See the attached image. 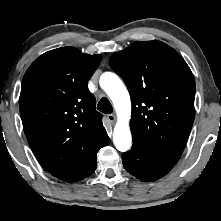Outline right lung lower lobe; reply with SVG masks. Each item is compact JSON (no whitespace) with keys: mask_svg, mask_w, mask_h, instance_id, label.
I'll return each instance as SVG.
<instances>
[{"mask_svg":"<svg viewBox=\"0 0 221 221\" xmlns=\"http://www.w3.org/2000/svg\"><path fill=\"white\" fill-rule=\"evenodd\" d=\"M110 139L109 137L91 154V156L87 159V161L72 175L62 179L66 182H75L82 180L88 176H90L96 169L97 166V152L100 148L109 145Z\"/></svg>","mask_w":221,"mask_h":221,"instance_id":"98d812e1","label":"right lung lower lobe"}]
</instances>
